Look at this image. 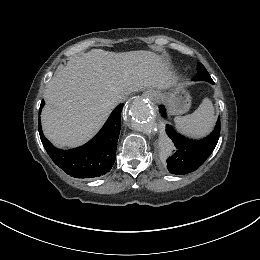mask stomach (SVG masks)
<instances>
[{
    "mask_svg": "<svg viewBox=\"0 0 260 260\" xmlns=\"http://www.w3.org/2000/svg\"><path fill=\"white\" fill-rule=\"evenodd\" d=\"M156 99L164 102L171 115H181L189 111L191 107V96L182 86L178 85L170 91L162 93L153 91Z\"/></svg>",
    "mask_w": 260,
    "mask_h": 260,
    "instance_id": "obj_1",
    "label": "stomach"
}]
</instances>
